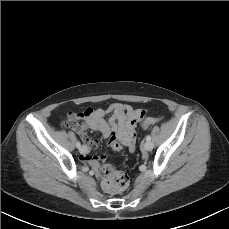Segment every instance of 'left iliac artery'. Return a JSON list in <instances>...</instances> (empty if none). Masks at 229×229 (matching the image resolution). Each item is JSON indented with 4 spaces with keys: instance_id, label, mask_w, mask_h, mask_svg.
Returning <instances> with one entry per match:
<instances>
[{
    "instance_id": "obj_1",
    "label": "left iliac artery",
    "mask_w": 229,
    "mask_h": 229,
    "mask_svg": "<svg viewBox=\"0 0 229 229\" xmlns=\"http://www.w3.org/2000/svg\"><path fill=\"white\" fill-rule=\"evenodd\" d=\"M146 140H147V141H150V140H151V136H150V135H147V136H146Z\"/></svg>"
}]
</instances>
